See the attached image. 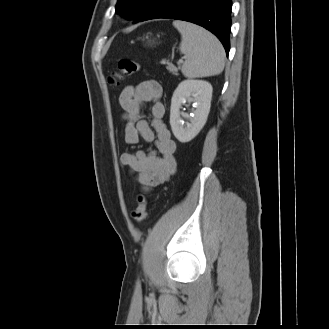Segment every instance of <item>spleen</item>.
<instances>
[{"mask_svg": "<svg viewBox=\"0 0 329 329\" xmlns=\"http://www.w3.org/2000/svg\"><path fill=\"white\" fill-rule=\"evenodd\" d=\"M173 26L182 37L180 51L186 56L182 66L185 77H208L223 71L225 51L212 33L185 21H174Z\"/></svg>", "mask_w": 329, "mask_h": 329, "instance_id": "obj_1", "label": "spleen"}]
</instances>
